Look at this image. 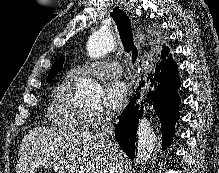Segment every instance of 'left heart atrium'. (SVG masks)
Masks as SVG:
<instances>
[{
	"mask_svg": "<svg viewBox=\"0 0 219 173\" xmlns=\"http://www.w3.org/2000/svg\"><path fill=\"white\" fill-rule=\"evenodd\" d=\"M128 95V86L122 81L114 80L104 88L103 103L109 110H117L124 105Z\"/></svg>",
	"mask_w": 219,
	"mask_h": 173,
	"instance_id": "1",
	"label": "left heart atrium"
}]
</instances>
